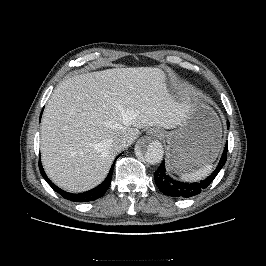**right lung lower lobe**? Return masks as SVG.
<instances>
[{
	"mask_svg": "<svg viewBox=\"0 0 266 266\" xmlns=\"http://www.w3.org/2000/svg\"><path fill=\"white\" fill-rule=\"evenodd\" d=\"M40 118H41V115H40ZM114 164H115V162L113 163L108 176L99 186L95 187L94 189H92L90 191H87V192H84L81 194L68 193V192L63 191L62 189H60L56 185H54L47 178L40 161H39V169H40L41 175L46 180V182L61 196H63L64 198H66L68 200L74 201V202H88V201H93V200H96V199L102 197L104 195V193L107 191V189L109 188L110 183H111Z\"/></svg>",
	"mask_w": 266,
	"mask_h": 266,
	"instance_id": "obj_1",
	"label": "right lung lower lobe"
}]
</instances>
